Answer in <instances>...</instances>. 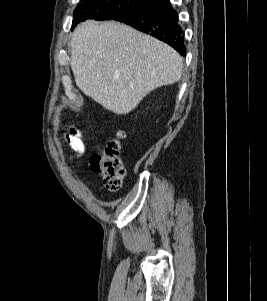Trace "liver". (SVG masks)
<instances>
[{"mask_svg":"<svg viewBox=\"0 0 267 301\" xmlns=\"http://www.w3.org/2000/svg\"><path fill=\"white\" fill-rule=\"evenodd\" d=\"M70 45L76 85L116 114L129 113L151 91L182 75L177 51L119 22H83Z\"/></svg>","mask_w":267,"mask_h":301,"instance_id":"liver-1","label":"liver"}]
</instances>
